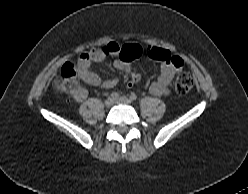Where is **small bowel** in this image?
Returning <instances> with one entry per match:
<instances>
[{
    "mask_svg": "<svg viewBox=\"0 0 248 194\" xmlns=\"http://www.w3.org/2000/svg\"><path fill=\"white\" fill-rule=\"evenodd\" d=\"M146 55L154 60L161 62V73L156 82L151 84L149 92L154 96L167 95L170 92V84L176 74L183 67V60L171 55L167 50L148 46L145 50ZM143 54V48L139 44L129 43L118 45L110 42L101 48H94L81 54L77 60V73L79 78L87 85L99 86L105 89L113 88L117 85L116 77L101 79V77L90 70L92 63L102 62L109 56H119L113 62V67L119 71L132 73L133 67L131 62ZM71 95L77 102H82L87 97V90L82 86H77L71 91Z\"/></svg>",
    "mask_w": 248,
    "mask_h": 194,
    "instance_id": "1",
    "label": "small bowel"
}]
</instances>
